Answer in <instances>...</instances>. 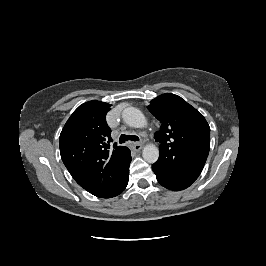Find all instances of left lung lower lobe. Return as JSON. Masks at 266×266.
<instances>
[{"mask_svg": "<svg viewBox=\"0 0 266 266\" xmlns=\"http://www.w3.org/2000/svg\"><path fill=\"white\" fill-rule=\"evenodd\" d=\"M152 169L156 175L158 182L165 188L173 191H180L189 187L193 182L190 181H181L174 178H171L159 169L152 165Z\"/></svg>", "mask_w": 266, "mask_h": 266, "instance_id": "left-lung-lower-lobe-1", "label": "left lung lower lobe"}]
</instances>
